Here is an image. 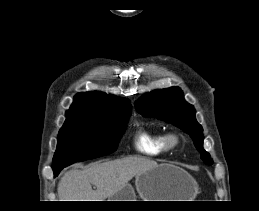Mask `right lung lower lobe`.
<instances>
[{"label": "right lung lower lobe", "instance_id": "98d812e1", "mask_svg": "<svg viewBox=\"0 0 259 211\" xmlns=\"http://www.w3.org/2000/svg\"><path fill=\"white\" fill-rule=\"evenodd\" d=\"M59 174V171L58 172H54V175L57 176Z\"/></svg>", "mask_w": 259, "mask_h": 211}]
</instances>
